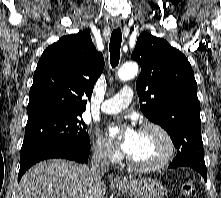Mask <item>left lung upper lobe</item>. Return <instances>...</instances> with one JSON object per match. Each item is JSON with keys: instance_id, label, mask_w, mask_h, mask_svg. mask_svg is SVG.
Instances as JSON below:
<instances>
[{"instance_id": "5c2ea615", "label": "left lung upper lobe", "mask_w": 221, "mask_h": 198, "mask_svg": "<svg viewBox=\"0 0 221 198\" xmlns=\"http://www.w3.org/2000/svg\"><path fill=\"white\" fill-rule=\"evenodd\" d=\"M131 58L141 66L136 90L145 116L168 132L177 153H203L197 83L188 59L146 32L138 37Z\"/></svg>"}]
</instances>
